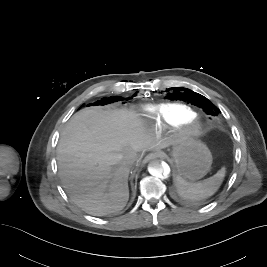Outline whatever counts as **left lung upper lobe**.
I'll return each instance as SVG.
<instances>
[{
	"instance_id": "obj_1",
	"label": "left lung upper lobe",
	"mask_w": 267,
	"mask_h": 267,
	"mask_svg": "<svg viewBox=\"0 0 267 267\" xmlns=\"http://www.w3.org/2000/svg\"><path fill=\"white\" fill-rule=\"evenodd\" d=\"M167 95L172 102L176 103L181 100L188 101L189 103L202 108L211 116H217L221 112L210 100L187 88L172 87L169 89Z\"/></svg>"
}]
</instances>
